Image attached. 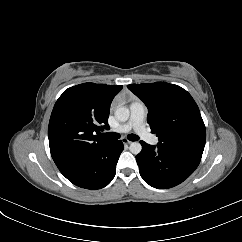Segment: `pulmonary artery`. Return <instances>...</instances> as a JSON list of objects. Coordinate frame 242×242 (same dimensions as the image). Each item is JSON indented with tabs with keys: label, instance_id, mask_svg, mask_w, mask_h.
I'll return each instance as SVG.
<instances>
[{
	"label": "pulmonary artery",
	"instance_id": "obj_1",
	"mask_svg": "<svg viewBox=\"0 0 242 242\" xmlns=\"http://www.w3.org/2000/svg\"><path fill=\"white\" fill-rule=\"evenodd\" d=\"M146 109L141 101H134L130 106L129 120L114 129L117 133H127L134 130L136 134L151 145H157V137L148 132L145 127Z\"/></svg>",
	"mask_w": 242,
	"mask_h": 242
}]
</instances>
